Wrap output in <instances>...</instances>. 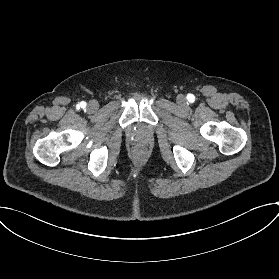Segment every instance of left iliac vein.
I'll return each instance as SVG.
<instances>
[{
	"label": "left iliac vein",
	"instance_id": "1",
	"mask_svg": "<svg viewBox=\"0 0 279 279\" xmlns=\"http://www.w3.org/2000/svg\"><path fill=\"white\" fill-rule=\"evenodd\" d=\"M176 101H177V104H179V105H186V103H187L185 96L182 94H179L177 96Z\"/></svg>",
	"mask_w": 279,
	"mask_h": 279
}]
</instances>
